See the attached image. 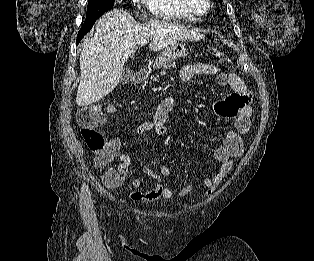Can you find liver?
I'll return each instance as SVG.
<instances>
[{"mask_svg": "<svg viewBox=\"0 0 314 261\" xmlns=\"http://www.w3.org/2000/svg\"><path fill=\"white\" fill-rule=\"evenodd\" d=\"M202 37L172 22L140 24L122 9L106 12L97 20L93 37L82 43L76 104L87 106L111 93L120 82L125 61L142 41L151 40L150 51L157 52L178 41Z\"/></svg>", "mask_w": 314, "mask_h": 261, "instance_id": "1", "label": "liver"}]
</instances>
